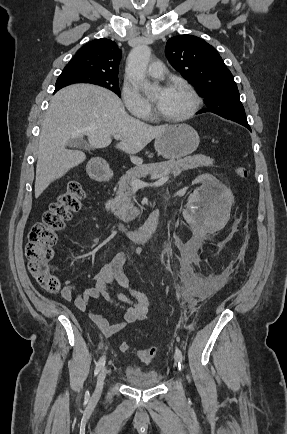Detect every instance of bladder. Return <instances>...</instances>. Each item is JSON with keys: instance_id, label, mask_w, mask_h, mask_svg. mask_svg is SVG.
I'll use <instances>...</instances> for the list:
<instances>
[{"instance_id": "1", "label": "bladder", "mask_w": 287, "mask_h": 434, "mask_svg": "<svg viewBox=\"0 0 287 434\" xmlns=\"http://www.w3.org/2000/svg\"><path fill=\"white\" fill-rule=\"evenodd\" d=\"M121 376L128 385L140 388L154 387L162 381L157 370L143 369L133 364L127 366Z\"/></svg>"}]
</instances>
